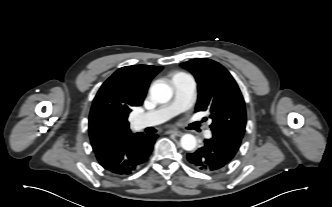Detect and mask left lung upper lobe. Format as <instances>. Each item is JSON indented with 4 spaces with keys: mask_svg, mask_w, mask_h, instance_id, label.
I'll list each match as a JSON object with an SVG mask.
<instances>
[{
    "mask_svg": "<svg viewBox=\"0 0 332 207\" xmlns=\"http://www.w3.org/2000/svg\"><path fill=\"white\" fill-rule=\"evenodd\" d=\"M190 71L198 83L195 111L210 112L214 133L242 139L246 125L245 102L231 74L219 63L197 58L181 64Z\"/></svg>",
    "mask_w": 332,
    "mask_h": 207,
    "instance_id": "left-lung-upper-lobe-1",
    "label": "left lung upper lobe"
}]
</instances>
